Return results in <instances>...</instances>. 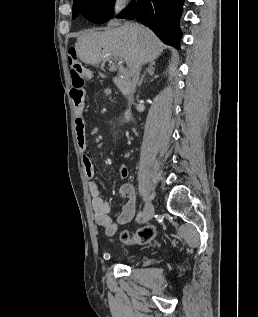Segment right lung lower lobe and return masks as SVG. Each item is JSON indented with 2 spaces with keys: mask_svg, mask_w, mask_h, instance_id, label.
I'll list each match as a JSON object with an SVG mask.
<instances>
[{
  "mask_svg": "<svg viewBox=\"0 0 258 317\" xmlns=\"http://www.w3.org/2000/svg\"><path fill=\"white\" fill-rule=\"evenodd\" d=\"M184 0H137L117 17L136 18L148 26L165 44L179 48V19Z\"/></svg>",
  "mask_w": 258,
  "mask_h": 317,
  "instance_id": "obj_1",
  "label": "right lung lower lobe"
}]
</instances>
